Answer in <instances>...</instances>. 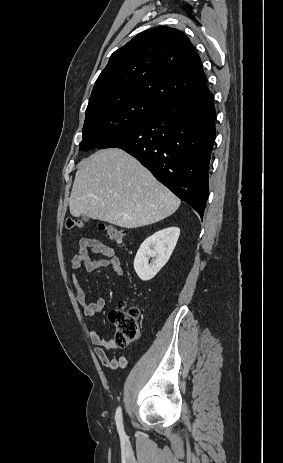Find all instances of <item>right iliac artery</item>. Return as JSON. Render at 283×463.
Masks as SVG:
<instances>
[{
  "mask_svg": "<svg viewBox=\"0 0 283 463\" xmlns=\"http://www.w3.org/2000/svg\"><path fill=\"white\" fill-rule=\"evenodd\" d=\"M115 421L118 429V433L121 438L125 437V431L122 423V410L121 407L117 408L116 415H115Z\"/></svg>",
  "mask_w": 283,
  "mask_h": 463,
  "instance_id": "1",
  "label": "right iliac artery"
}]
</instances>
